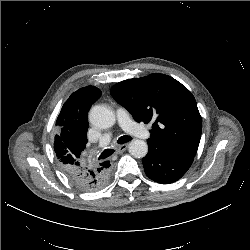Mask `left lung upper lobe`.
<instances>
[{
    "label": "left lung upper lobe",
    "mask_w": 250,
    "mask_h": 250,
    "mask_svg": "<svg viewBox=\"0 0 250 250\" xmlns=\"http://www.w3.org/2000/svg\"><path fill=\"white\" fill-rule=\"evenodd\" d=\"M110 93L137 122H153L149 144L195 156L202 120L194 96L180 82L164 74H150L119 82Z\"/></svg>",
    "instance_id": "obj_1"
}]
</instances>
